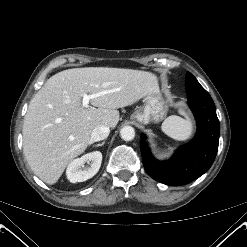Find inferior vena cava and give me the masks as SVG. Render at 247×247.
<instances>
[{
    "label": "inferior vena cava",
    "instance_id": "602c4592",
    "mask_svg": "<svg viewBox=\"0 0 247 247\" xmlns=\"http://www.w3.org/2000/svg\"><path fill=\"white\" fill-rule=\"evenodd\" d=\"M109 133H110V129L108 126L99 125L93 129L91 134V141L96 142V141L104 140L108 137Z\"/></svg>",
    "mask_w": 247,
    "mask_h": 247
}]
</instances>
